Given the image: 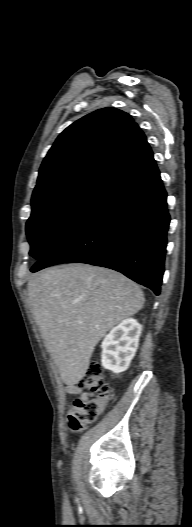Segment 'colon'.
Instances as JSON below:
<instances>
[{
    "mask_svg": "<svg viewBox=\"0 0 192 527\" xmlns=\"http://www.w3.org/2000/svg\"><path fill=\"white\" fill-rule=\"evenodd\" d=\"M78 385L95 393L96 397L92 399L78 398L70 407L68 424L74 432L82 430L87 423L95 420L111 398L110 387L104 380L103 369L96 362H91L88 365Z\"/></svg>",
    "mask_w": 192,
    "mask_h": 527,
    "instance_id": "1",
    "label": "colon"
}]
</instances>
